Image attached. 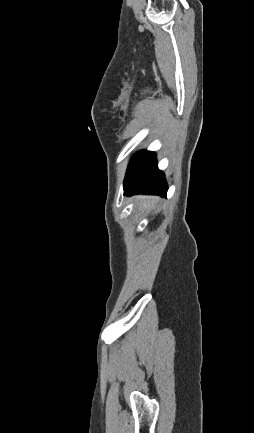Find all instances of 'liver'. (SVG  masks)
<instances>
[{"label": "liver", "mask_w": 254, "mask_h": 433, "mask_svg": "<svg viewBox=\"0 0 254 433\" xmlns=\"http://www.w3.org/2000/svg\"><path fill=\"white\" fill-rule=\"evenodd\" d=\"M142 201L144 202V206H148V203L151 201L152 203L154 200L152 198H142Z\"/></svg>", "instance_id": "liver-1"}]
</instances>
